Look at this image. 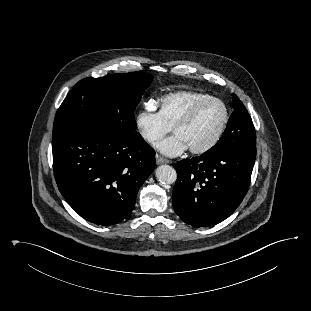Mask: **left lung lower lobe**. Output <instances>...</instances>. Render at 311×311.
Segmentation results:
<instances>
[{"label":"left lung lower lobe","mask_w":311,"mask_h":311,"mask_svg":"<svg viewBox=\"0 0 311 311\" xmlns=\"http://www.w3.org/2000/svg\"><path fill=\"white\" fill-rule=\"evenodd\" d=\"M256 157L255 145H236L176 164L172 203L176 214L195 227L229 217L246 195Z\"/></svg>","instance_id":"obj_1"}]
</instances>
